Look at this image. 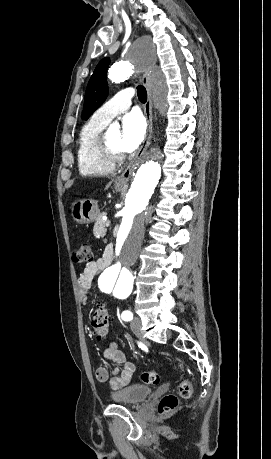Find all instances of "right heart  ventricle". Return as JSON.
I'll return each instance as SVG.
<instances>
[{
  "label": "right heart ventricle",
  "mask_w": 271,
  "mask_h": 459,
  "mask_svg": "<svg viewBox=\"0 0 271 459\" xmlns=\"http://www.w3.org/2000/svg\"><path fill=\"white\" fill-rule=\"evenodd\" d=\"M106 123L92 116L80 129L76 146V166L83 177H93L112 172L116 163L97 157L96 144Z\"/></svg>",
  "instance_id": "1"
}]
</instances>
